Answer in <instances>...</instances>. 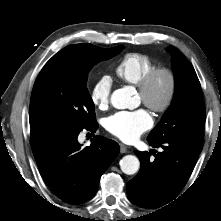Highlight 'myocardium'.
<instances>
[{
  "instance_id": "f54148a6",
  "label": "myocardium",
  "mask_w": 221,
  "mask_h": 221,
  "mask_svg": "<svg viewBox=\"0 0 221 221\" xmlns=\"http://www.w3.org/2000/svg\"><path fill=\"white\" fill-rule=\"evenodd\" d=\"M164 76L167 79V91L164 99L160 103H155L151 99V90L156 80ZM139 95L145 106L156 113L166 112L176 96L177 77L173 69L167 66H156L152 68L137 85Z\"/></svg>"
}]
</instances>
